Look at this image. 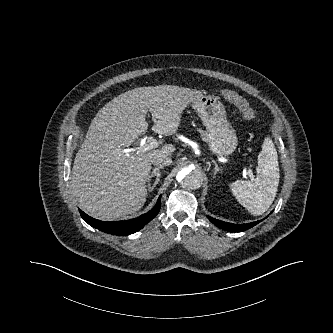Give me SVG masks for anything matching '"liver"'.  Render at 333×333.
Returning a JSON list of instances; mask_svg holds the SVG:
<instances>
[{"label": "liver", "instance_id": "1", "mask_svg": "<svg viewBox=\"0 0 333 333\" xmlns=\"http://www.w3.org/2000/svg\"><path fill=\"white\" fill-rule=\"evenodd\" d=\"M202 92L172 85L138 87L124 92L98 111L76 154L71 188L90 216L111 221L140 210L147 198L146 181L156 155L170 156L171 144L149 152H123L145 134L150 111L152 130L165 136L177 132L183 110Z\"/></svg>", "mask_w": 333, "mask_h": 333}]
</instances>
